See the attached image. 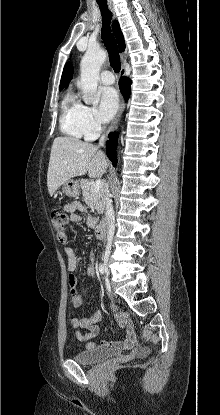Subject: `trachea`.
<instances>
[{"label":"trachea","instance_id":"1","mask_svg":"<svg viewBox=\"0 0 220 415\" xmlns=\"http://www.w3.org/2000/svg\"><path fill=\"white\" fill-rule=\"evenodd\" d=\"M102 15L101 35L103 43L109 54L110 65L115 72H119L121 68L118 46L114 35L111 33L110 22L112 13L109 11L107 4H99Z\"/></svg>","mask_w":220,"mask_h":415}]
</instances>
